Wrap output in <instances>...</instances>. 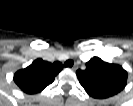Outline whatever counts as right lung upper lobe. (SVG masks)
<instances>
[{
	"label": "right lung upper lobe",
	"mask_w": 133,
	"mask_h": 106,
	"mask_svg": "<svg viewBox=\"0 0 133 106\" xmlns=\"http://www.w3.org/2000/svg\"><path fill=\"white\" fill-rule=\"evenodd\" d=\"M62 69L63 66L58 61L50 63L36 59L27 68L17 71L14 81L23 92L35 94L51 84Z\"/></svg>",
	"instance_id": "obj_1"
}]
</instances>
